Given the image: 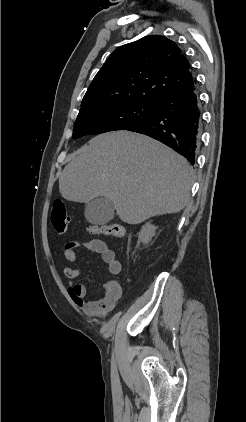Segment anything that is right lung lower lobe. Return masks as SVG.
Segmentation results:
<instances>
[{"label":"right lung lower lobe","mask_w":246,"mask_h":422,"mask_svg":"<svg viewBox=\"0 0 246 422\" xmlns=\"http://www.w3.org/2000/svg\"><path fill=\"white\" fill-rule=\"evenodd\" d=\"M154 116L127 130L150 136L193 165L200 143L201 114L196 85L158 100Z\"/></svg>","instance_id":"98d812e1"}]
</instances>
